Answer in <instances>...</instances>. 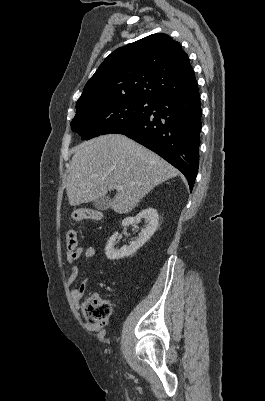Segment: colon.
I'll return each instance as SVG.
<instances>
[{
	"label": "colon",
	"instance_id": "5ec220e1",
	"mask_svg": "<svg viewBox=\"0 0 265 401\" xmlns=\"http://www.w3.org/2000/svg\"><path fill=\"white\" fill-rule=\"evenodd\" d=\"M74 221L100 220L101 213L88 208H78L71 214ZM67 252H73L77 248V236L73 230L68 231L66 236ZM82 312L91 325L104 324L111 314V304L97 295L86 298L82 303Z\"/></svg>",
	"mask_w": 265,
	"mask_h": 401
}]
</instances>
